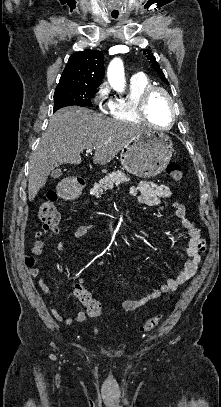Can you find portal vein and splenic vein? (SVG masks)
Here are the masks:
<instances>
[{"label": "portal vein and splenic vein", "instance_id": "1", "mask_svg": "<svg viewBox=\"0 0 221 407\" xmlns=\"http://www.w3.org/2000/svg\"><path fill=\"white\" fill-rule=\"evenodd\" d=\"M92 152V149H87L86 150V153H91Z\"/></svg>", "mask_w": 221, "mask_h": 407}]
</instances>
